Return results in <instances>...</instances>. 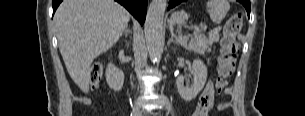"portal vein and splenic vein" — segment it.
<instances>
[{
  "label": "portal vein and splenic vein",
  "instance_id": "18ae733b",
  "mask_svg": "<svg viewBox=\"0 0 305 116\" xmlns=\"http://www.w3.org/2000/svg\"><path fill=\"white\" fill-rule=\"evenodd\" d=\"M201 29L206 30V29H207V26L201 24ZM187 39H188L187 37H184L183 39H181V42H182L183 44H185V43H187Z\"/></svg>",
  "mask_w": 305,
  "mask_h": 116
}]
</instances>
